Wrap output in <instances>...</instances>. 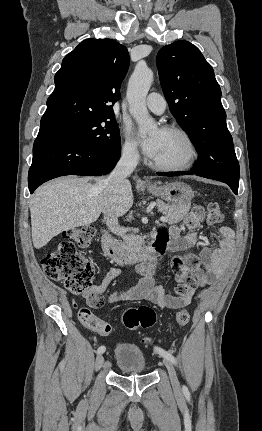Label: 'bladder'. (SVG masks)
Instances as JSON below:
<instances>
[{"label": "bladder", "mask_w": 262, "mask_h": 431, "mask_svg": "<svg viewBox=\"0 0 262 431\" xmlns=\"http://www.w3.org/2000/svg\"><path fill=\"white\" fill-rule=\"evenodd\" d=\"M115 356L121 371L142 373L146 369L143 351L136 345L118 344L115 348Z\"/></svg>", "instance_id": "1"}]
</instances>
